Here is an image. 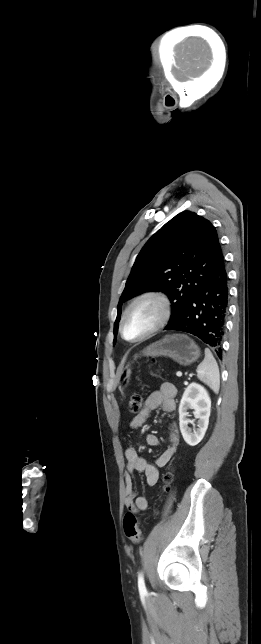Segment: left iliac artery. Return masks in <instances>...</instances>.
I'll return each mask as SVG.
<instances>
[{
  "instance_id": "obj_1",
  "label": "left iliac artery",
  "mask_w": 261,
  "mask_h": 644,
  "mask_svg": "<svg viewBox=\"0 0 261 644\" xmlns=\"http://www.w3.org/2000/svg\"><path fill=\"white\" fill-rule=\"evenodd\" d=\"M138 588L141 594H146V587H145L144 577L142 573H140L138 576Z\"/></svg>"
}]
</instances>
